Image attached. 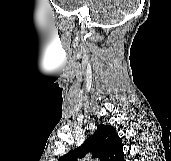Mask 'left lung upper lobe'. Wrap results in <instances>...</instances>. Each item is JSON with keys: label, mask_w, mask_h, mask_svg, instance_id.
I'll return each mask as SVG.
<instances>
[{"label": "left lung upper lobe", "mask_w": 171, "mask_h": 161, "mask_svg": "<svg viewBox=\"0 0 171 161\" xmlns=\"http://www.w3.org/2000/svg\"><path fill=\"white\" fill-rule=\"evenodd\" d=\"M100 161H124L123 144L112 126L100 124L95 133L83 145L62 156L58 161H76L87 152Z\"/></svg>", "instance_id": "left-lung-upper-lobe-1"}]
</instances>
